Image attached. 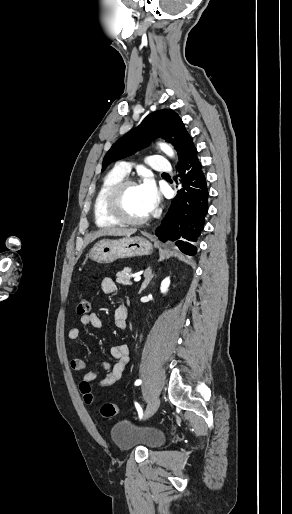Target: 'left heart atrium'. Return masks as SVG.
<instances>
[{
  "mask_svg": "<svg viewBox=\"0 0 292 514\" xmlns=\"http://www.w3.org/2000/svg\"><path fill=\"white\" fill-rule=\"evenodd\" d=\"M138 189L145 203L147 211H153L158 205L159 193L152 177L146 176L142 183L138 186Z\"/></svg>",
  "mask_w": 292,
  "mask_h": 514,
  "instance_id": "1",
  "label": "left heart atrium"
}]
</instances>
